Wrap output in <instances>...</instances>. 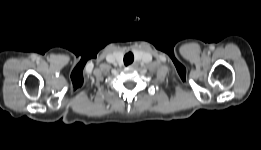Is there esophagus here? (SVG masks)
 <instances>
[{"instance_id": "1", "label": "esophagus", "mask_w": 261, "mask_h": 150, "mask_svg": "<svg viewBox=\"0 0 261 150\" xmlns=\"http://www.w3.org/2000/svg\"><path fill=\"white\" fill-rule=\"evenodd\" d=\"M135 66V63L131 64L130 67H134Z\"/></svg>"}]
</instances>
